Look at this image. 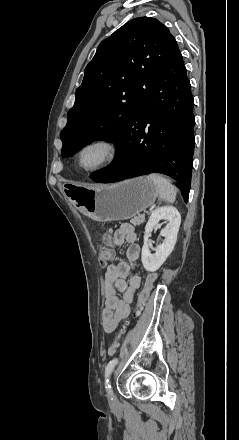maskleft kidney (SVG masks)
<instances>
[{"label": "left kidney", "instance_id": "5707ae66", "mask_svg": "<svg viewBox=\"0 0 239 440\" xmlns=\"http://www.w3.org/2000/svg\"><path fill=\"white\" fill-rule=\"evenodd\" d=\"M160 220H167L168 222L166 228L160 232V236H164L165 240L163 244L156 246L155 254H151L148 246V238H150L154 226H158ZM180 224L181 216L178 210L173 208V206L157 208V210H154L153 214H151L145 226L144 246L141 254L142 264L147 272H157L169 254H171L176 244Z\"/></svg>", "mask_w": 239, "mask_h": 440}]
</instances>
